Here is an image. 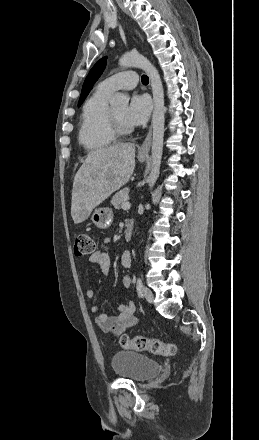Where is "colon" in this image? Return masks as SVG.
I'll return each mask as SVG.
<instances>
[{"label":"colon","instance_id":"obj_1","mask_svg":"<svg viewBox=\"0 0 259 440\" xmlns=\"http://www.w3.org/2000/svg\"><path fill=\"white\" fill-rule=\"evenodd\" d=\"M94 249V241L89 234L78 233L75 236L74 252L76 256L91 254ZM119 343L125 349L148 351L159 356H171L175 352L173 344L144 336L129 337L123 334L119 337Z\"/></svg>","mask_w":259,"mask_h":440}]
</instances>
